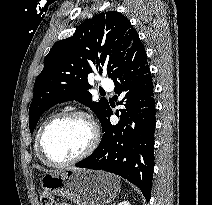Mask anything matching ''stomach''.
<instances>
[{
    "label": "stomach",
    "instance_id": "1",
    "mask_svg": "<svg viewBox=\"0 0 212 205\" xmlns=\"http://www.w3.org/2000/svg\"><path fill=\"white\" fill-rule=\"evenodd\" d=\"M40 183L44 191L67 198L76 205H105L120 192L114 175L97 170L66 168L45 174Z\"/></svg>",
    "mask_w": 212,
    "mask_h": 205
}]
</instances>
